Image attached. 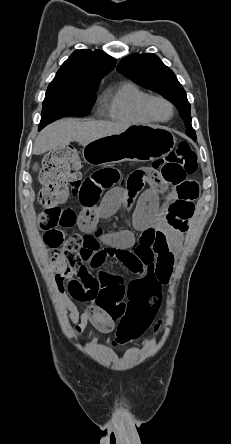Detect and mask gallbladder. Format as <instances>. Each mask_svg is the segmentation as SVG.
<instances>
[{
  "mask_svg": "<svg viewBox=\"0 0 231 444\" xmlns=\"http://www.w3.org/2000/svg\"><path fill=\"white\" fill-rule=\"evenodd\" d=\"M34 168H35V169L37 168V164L34 166Z\"/></svg>",
  "mask_w": 231,
  "mask_h": 444,
  "instance_id": "obj_1",
  "label": "gallbladder"
}]
</instances>
